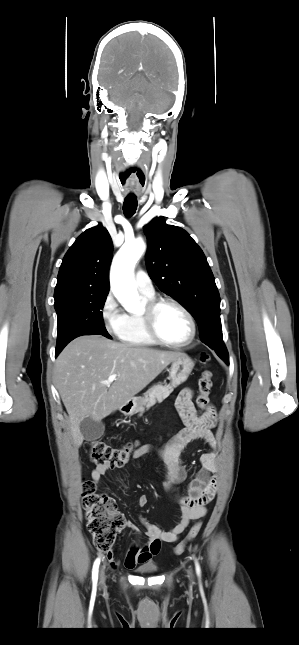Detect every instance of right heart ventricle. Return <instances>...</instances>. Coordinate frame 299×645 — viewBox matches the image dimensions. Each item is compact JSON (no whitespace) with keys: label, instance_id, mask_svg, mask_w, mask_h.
<instances>
[{"label":"right heart ventricle","instance_id":"e07e8e85","mask_svg":"<svg viewBox=\"0 0 299 645\" xmlns=\"http://www.w3.org/2000/svg\"><path fill=\"white\" fill-rule=\"evenodd\" d=\"M144 295V299L147 301L153 299V296ZM118 338L123 342L131 346H152L156 342L149 336L147 333L141 311L138 312H129L124 314V323L122 329L118 335Z\"/></svg>","mask_w":299,"mask_h":645}]
</instances>
